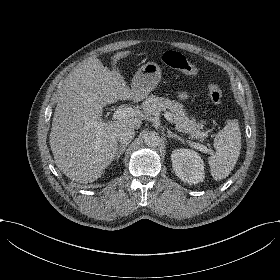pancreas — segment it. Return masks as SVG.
<instances>
[{
  "label": "pancreas",
  "instance_id": "1",
  "mask_svg": "<svg viewBox=\"0 0 280 280\" xmlns=\"http://www.w3.org/2000/svg\"><path fill=\"white\" fill-rule=\"evenodd\" d=\"M140 108L143 110V114L148 116L157 111L168 109L174 117L173 123L178 131L188 133L192 138L201 140L206 136V134L201 131L205 121L202 120L197 123L195 119L190 120L183 109V105L179 102L171 101L164 97H157L152 94L145 99L140 105Z\"/></svg>",
  "mask_w": 280,
  "mask_h": 280
}]
</instances>
